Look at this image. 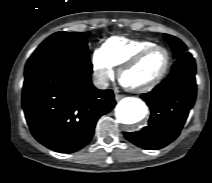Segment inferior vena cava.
Wrapping results in <instances>:
<instances>
[{
	"label": "inferior vena cava",
	"mask_w": 212,
	"mask_h": 183,
	"mask_svg": "<svg viewBox=\"0 0 212 183\" xmlns=\"http://www.w3.org/2000/svg\"><path fill=\"white\" fill-rule=\"evenodd\" d=\"M93 84L98 89H105L108 87V77L103 74H97L95 75L93 79Z\"/></svg>",
	"instance_id": "1"
}]
</instances>
